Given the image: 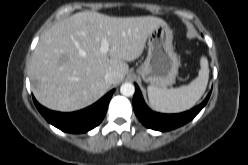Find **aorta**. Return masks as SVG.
<instances>
[{
	"label": "aorta",
	"mask_w": 248,
	"mask_h": 165,
	"mask_svg": "<svg viewBox=\"0 0 248 165\" xmlns=\"http://www.w3.org/2000/svg\"><path fill=\"white\" fill-rule=\"evenodd\" d=\"M135 92V86L132 83L126 82L121 85L120 93L124 96H132Z\"/></svg>",
	"instance_id": "obj_1"
}]
</instances>
